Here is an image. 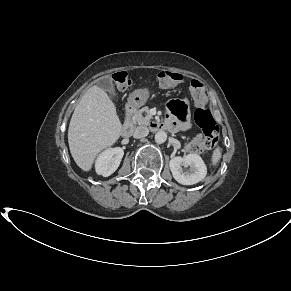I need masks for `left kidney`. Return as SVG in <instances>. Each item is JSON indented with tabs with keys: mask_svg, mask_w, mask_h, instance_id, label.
I'll use <instances>...</instances> for the list:
<instances>
[{
	"mask_svg": "<svg viewBox=\"0 0 291 291\" xmlns=\"http://www.w3.org/2000/svg\"><path fill=\"white\" fill-rule=\"evenodd\" d=\"M182 166L190 168L184 171ZM169 167L174 179L182 185L196 184L207 174L206 165L198 154H188L184 158L174 157L170 160Z\"/></svg>",
	"mask_w": 291,
	"mask_h": 291,
	"instance_id": "obj_1",
	"label": "left kidney"
}]
</instances>
